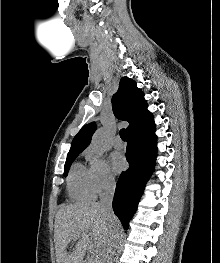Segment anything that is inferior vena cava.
Returning <instances> with one entry per match:
<instances>
[{
	"label": "inferior vena cava",
	"mask_w": 220,
	"mask_h": 263,
	"mask_svg": "<svg viewBox=\"0 0 220 263\" xmlns=\"http://www.w3.org/2000/svg\"><path fill=\"white\" fill-rule=\"evenodd\" d=\"M115 180L113 178L109 179L108 182L103 187V192L100 195L99 205L107 214L108 218L114 216L112 209V202L115 193ZM120 231L116 228H113L110 231L106 242L105 254L103 257V263H113V256L119 242Z\"/></svg>",
	"instance_id": "602c4592"
}]
</instances>
